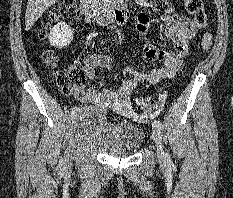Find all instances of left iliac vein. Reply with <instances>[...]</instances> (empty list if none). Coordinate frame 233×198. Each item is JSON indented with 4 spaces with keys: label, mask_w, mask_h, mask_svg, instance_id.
Here are the masks:
<instances>
[{
    "label": "left iliac vein",
    "mask_w": 233,
    "mask_h": 198,
    "mask_svg": "<svg viewBox=\"0 0 233 198\" xmlns=\"http://www.w3.org/2000/svg\"><path fill=\"white\" fill-rule=\"evenodd\" d=\"M152 137L156 143L158 158L160 161L163 162L166 159V155L163 151L161 132L159 128L155 126L152 127Z\"/></svg>",
    "instance_id": "4c4485c4"
}]
</instances>
